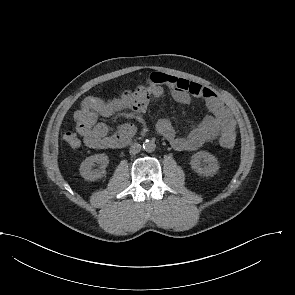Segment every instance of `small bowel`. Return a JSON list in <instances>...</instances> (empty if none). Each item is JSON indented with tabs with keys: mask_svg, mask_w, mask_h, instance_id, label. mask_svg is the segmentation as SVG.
Segmentation results:
<instances>
[{
	"mask_svg": "<svg viewBox=\"0 0 295 295\" xmlns=\"http://www.w3.org/2000/svg\"><path fill=\"white\" fill-rule=\"evenodd\" d=\"M164 86L171 90L173 99L187 104L192 97L205 101L210 115L203 118L185 136H180L168 119L157 122L156 130L165 137L177 151H193L206 142L214 140L227 125L235 127V121L216 93L183 78L160 72L152 73L143 85L134 90H125L118 97L108 100L95 96L86 97L74 114L76 129L84 144L91 149H111L119 147V142L130 139L135 134V126L123 124L114 134H109L108 127L99 122V117H111L122 110L144 113L153 99L160 98Z\"/></svg>",
	"mask_w": 295,
	"mask_h": 295,
	"instance_id": "1",
	"label": "small bowel"
}]
</instances>
